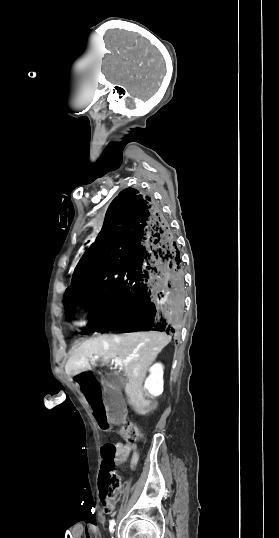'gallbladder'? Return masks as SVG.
<instances>
[{
	"label": "gallbladder",
	"instance_id": "gallbladder-1",
	"mask_svg": "<svg viewBox=\"0 0 279 538\" xmlns=\"http://www.w3.org/2000/svg\"><path fill=\"white\" fill-rule=\"evenodd\" d=\"M125 382V376L123 374H105V378H102V384L105 386L106 394L103 398V401L107 405L112 406V411L107 415V420L109 423H118L121 424L120 418H127L125 415V406L126 403L124 399L121 398L118 390H121L122 384Z\"/></svg>",
	"mask_w": 279,
	"mask_h": 538
}]
</instances>
